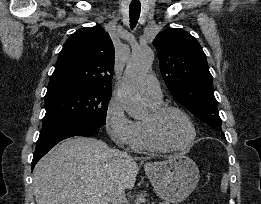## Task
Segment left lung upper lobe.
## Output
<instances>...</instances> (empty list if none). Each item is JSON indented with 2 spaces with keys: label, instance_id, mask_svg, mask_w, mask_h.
<instances>
[{
  "label": "left lung upper lobe",
  "instance_id": "1",
  "mask_svg": "<svg viewBox=\"0 0 261 204\" xmlns=\"http://www.w3.org/2000/svg\"><path fill=\"white\" fill-rule=\"evenodd\" d=\"M153 45L172 96L202 122L221 131L213 77L196 38L180 28H172L160 32Z\"/></svg>",
  "mask_w": 261,
  "mask_h": 204
}]
</instances>
